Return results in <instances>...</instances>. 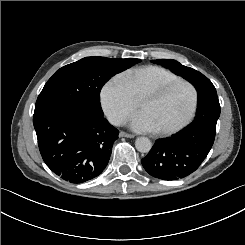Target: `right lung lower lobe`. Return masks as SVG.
Listing matches in <instances>:
<instances>
[{
  "label": "right lung lower lobe",
  "mask_w": 245,
  "mask_h": 245,
  "mask_svg": "<svg viewBox=\"0 0 245 245\" xmlns=\"http://www.w3.org/2000/svg\"><path fill=\"white\" fill-rule=\"evenodd\" d=\"M33 124L44 162L71 183H82L102 173L119 134L103 116L65 105L35 110Z\"/></svg>",
  "instance_id": "right-lung-lower-lobe-1"
}]
</instances>
